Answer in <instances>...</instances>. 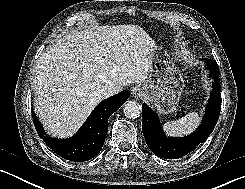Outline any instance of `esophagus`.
Segmentation results:
<instances>
[{
	"label": "esophagus",
	"mask_w": 245,
	"mask_h": 189,
	"mask_svg": "<svg viewBox=\"0 0 245 189\" xmlns=\"http://www.w3.org/2000/svg\"><path fill=\"white\" fill-rule=\"evenodd\" d=\"M131 95L134 98H139L142 95V89L140 87H134L131 90Z\"/></svg>",
	"instance_id": "obj_1"
}]
</instances>
